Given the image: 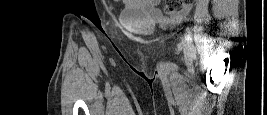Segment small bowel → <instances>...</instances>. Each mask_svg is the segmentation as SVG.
Segmentation results:
<instances>
[{
  "instance_id": "small-bowel-1",
  "label": "small bowel",
  "mask_w": 267,
  "mask_h": 115,
  "mask_svg": "<svg viewBox=\"0 0 267 115\" xmlns=\"http://www.w3.org/2000/svg\"><path fill=\"white\" fill-rule=\"evenodd\" d=\"M160 0H129L126 1L127 7L131 9H142L148 12L155 18H162L161 13L158 9V4ZM188 11V6L185 7L182 11L175 13L172 17L174 20L182 19Z\"/></svg>"
}]
</instances>
